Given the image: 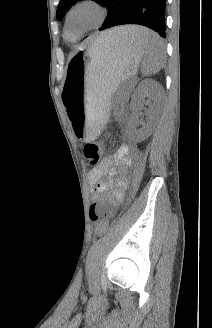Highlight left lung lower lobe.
<instances>
[{"instance_id": "0a47b994", "label": "left lung lower lobe", "mask_w": 212, "mask_h": 328, "mask_svg": "<svg viewBox=\"0 0 212 328\" xmlns=\"http://www.w3.org/2000/svg\"><path fill=\"white\" fill-rule=\"evenodd\" d=\"M166 0H106L107 17L100 30L116 25L139 24L166 38Z\"/></svg>"}]
</instances>
